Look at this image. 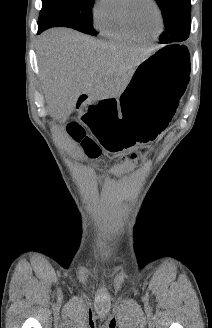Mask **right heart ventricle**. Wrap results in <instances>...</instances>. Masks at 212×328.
<instances>
[{
    "mask_svg": "<svg viewBox=\"0 0 212 328\" xmlns=\"http://www.w3.org/2000/svg\"><path fill=\"white\" fill-rule=\"evenodd\" d=\"M126 4L127 0H100L94 13L95 26L103 36L111 40L141 42L144 37L135 33L128 24Z\"/></svg>",
    "mask_w": 212,
    "mask_h": 328,
    "instance_id": "1",
    "label": "right heart ventricle"
}]
</instances>
